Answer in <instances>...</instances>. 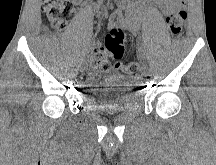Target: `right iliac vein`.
Returning <instances> with one entry per match:
<instances>
[{"mask_svg":"<svg viewBox=\"0 0 216 165\" xmlns=\"http://www.w3.org/2000/svg\"><path fill=\"white\" fill-rule=\"evenodd\" d=\"M80 67H82V69H84L86 66H85V64L80 63Z\"/></svg>","mask_w":216,"mask_h":165,"instance_id":"63e3f726","label":"right iliac vein"}]
</instances>
